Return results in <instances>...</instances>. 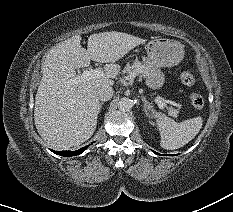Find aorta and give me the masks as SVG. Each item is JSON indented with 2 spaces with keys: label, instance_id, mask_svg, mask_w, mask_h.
<instances>
[{
  "label": "aorta",
  "instance_id": "1",
  "mask_svg": "<svg viewBox=\"0 0 233 212\" xmlns=\"http://www.w3.org/2000/svg\"><path fill=\"white\" fill-rule=\"evenodd\" d=\"M133 107L132 100L129 98H121L118 102V108L122 111H129Z\"/></svg>",
  "mask_w": 233,
  "mask_h": 212
}]
</instances>
